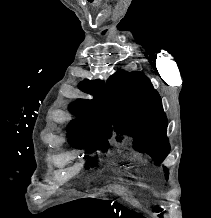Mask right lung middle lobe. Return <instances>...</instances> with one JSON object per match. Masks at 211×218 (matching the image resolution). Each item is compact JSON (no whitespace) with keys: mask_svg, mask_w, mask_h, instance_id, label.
I'll return each mask as SVG.
<instances>
[{"mask_svg":"<svg viewBox=\"0 0 211 218\" xmlns=\"http://www.w3.org/2000/svg\"><path fill=\"white\" fill-rule=\"evenodd\" d=\"M68 133L70 137V143L76 147L88 148L89 150H96L100 148L107 150L109 146L107 139H109L110 136L105 134H98V133L93 134L69 126H68ZM84 134H88V136L82 138ZM94 165L95 163L93 164V166Z\"/></svg>","mask_w":211,"mask_h":218,"instance_id":"obj_1","label":"right lung middle lobe"}]
</instances>
